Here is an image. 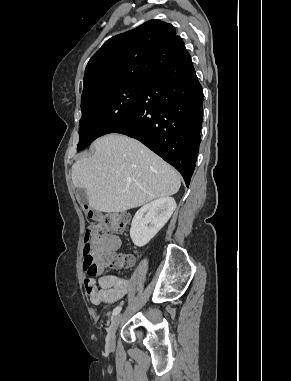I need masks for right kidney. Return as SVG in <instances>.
Here are the masks:
<instances>
[{
  "label": "right kidney",
  "mask_w": 291,
  "mask_h": 381,
  "mask_svg": "<svg viewBox=\"0 0 291 381\" xmlns=\"http://www.w3.org/2000/svg\"><path fill=\"white\" fill-rule=\"evenodd\" d=\"M175 208L176 202L169 196L158 198L141 207L132 220V242L138 247L146 245L167 223Z\"/></svg>",
  "instance_id": "right-kidney-1"
}]
</instances>
